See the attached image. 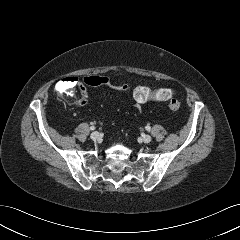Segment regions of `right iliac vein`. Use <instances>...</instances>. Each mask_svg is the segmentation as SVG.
<instances>
[{
    "mask_svg": "<svg viewBox=\"0 0 240 240\" xmlns=\"http://www.w3.org/2000/svg\"><path fill=\"white\" fill-rule=\"evenodd\" d=\"M99 137H100L99 132H93V133H91V135H90V138H91L92 140H94V141L98 140Z\"/></svg>",
    "mask_w": 240,
    "mask_h": 240,
    "instance_id": "63e3f726",
    "label": "right iliac vein"
}]
</instances>
